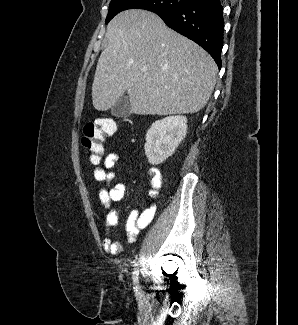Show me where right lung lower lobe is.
<instances>
[{
  "label": "right lung lower lobe",
  "instance_id": "98d812e1",
  "mask_svg": "<svg viewBox=\"0 0 298 325\" xmlns=\"http://www.w3.org/2000/svg\"><path fill=\"white\" fill-rule=\"evenodd\" d=\"M155 13L167 26L203 47L221 68L224 20L220 0H191L181 8Z\"/></svg>",
  "mask_w": 298,
  "mask_h": 325
}]
</instances>
